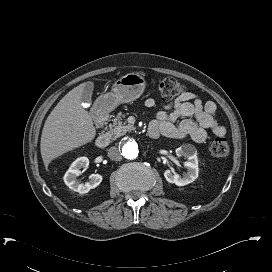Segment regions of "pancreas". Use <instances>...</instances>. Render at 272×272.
I'll return each instance as SVG.
<instances>
[{
    "instance_id": "cf45deb5",
    "label": "pancreas",
    "mask_w": 272,
    "mask_h": 272,
    "mask_svg": "<svg viewBox=\"0 0 272 272\" xmlns=\"http://www.w3.org/2000/svg\"><path fill=\"white\" fill-rule=\"evenodd\" d=\"M122 117H124V114L119 113L113 120V124L110 125L108 134L112 137V139H116L134 129L133 125L123 122Z\"/></svg>"
}]
</instances>
